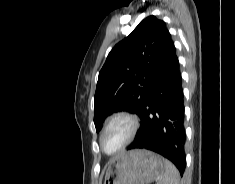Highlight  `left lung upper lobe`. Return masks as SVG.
Masks as SVG:
<instances>
[{"mask_svg":"<svg viewBox=\"0 0 235 184\" xmlns=\"http://www.w3.org/2000/svg\"><path fill=\"white\" fill-rule=\"evenodd\" d=\"M168 36L165 22L151 15L110 51L99 72L94 96L97 132L113 111L140 114Z\"/></svg>","mask_w":235,"mask_h":184,"instance_id":"1","label":"left lung upper lobe"}]
</instances>
